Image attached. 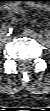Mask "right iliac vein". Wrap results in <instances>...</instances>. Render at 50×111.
Masks as SVG:
<instances>
[{"mask_svg":"<svg viewBox=\"0 0 50 111\" xmlns=\"http://www.w3.org/2000/svg\"><path fill=\"white\" fill-rule=\"evenodd\" d=\"M9 39H10L9 36H4V37H3V41H7V40H9Z\"/></svg>","mask_w":50,"mask_h":111,"instance_id":"1","label":"right iliac vein"}]
</instances>
